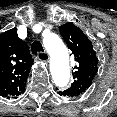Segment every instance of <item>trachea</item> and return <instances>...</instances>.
<instances>
[{"instance_id": "trachea-1", "label": "trachea", "mask_w": 117, "mask_h": 117, "mask_svg": "<svg viewBox=\"0 0 117 117\" xmlns=\"http://www.w3.org/2000/svg\"><path fill=\"white\" fill-rule=\"evenodd\" d=\"M31 51L33 54L43 52V47L40 41L36 40L31 45Z\"/></svg>"}]
</instances>
